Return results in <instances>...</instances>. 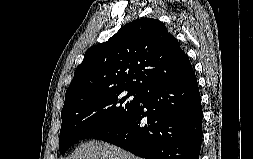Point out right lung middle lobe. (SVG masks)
<instances>
[{"label": "right lung middle lobe", "instance_id": "obj_1", "mask_svg": "<svg viewBox=\"0 0 253 159\" xmlns=\"http://www.w3.org/2000/svg\"><path fill=\"white\" fill-rule=\"evenodd\" d=\"M134 96L132 100L128 98ZM135 91L101 92L64 104L59 150L64 154L77 141L105 132L127 119L142 101Z\"/></svg>", "mask_w": 253, "mask_h": 159}]
</instances>
